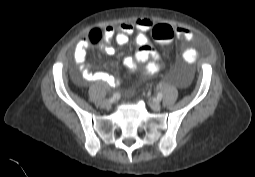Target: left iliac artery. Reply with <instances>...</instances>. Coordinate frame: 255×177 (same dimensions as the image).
<instances>
[{"label": "left iliac artery", "instance_id": "left-iliac-artery-1", "mask_svg": "<svg viewBox=\"0 0 255 177\" xmlns=\"http://www.w3.org/2000/svg\"><path fill=\"white\" fill-rule=\"evenodd\" d=\"M162 97H163L162 93L159 92V93L157 94V99L160 101V100L162 99Z\"/></svg>", "mask_w": 255, "mask_h": 177}]
</instances>
